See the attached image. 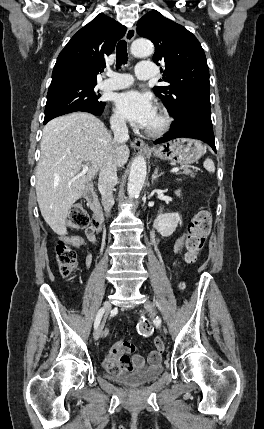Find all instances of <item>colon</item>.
<instances>
[{
	"label": "colon",
	"instance_id": "5ec220e1",
	"mask_svg": "<svg viewBox=\"0 0 264 429\" xmlns=\"http://www.w3.org/2000/svg\"><path fill=\"white\" fill-rule=\"evenodd\" d=\"M212 216L208 210H200L192 218L189 224V236L186 242V262L192 264L196 261L199 252L202 250L207 235L210 230ZM67 225L72 229L88 228L90 219L87 211L81 204H75L69 211ZM56 257L61 274L69 277L76 267V253L63 239L58 240L56 244ZM153 324L150 320L144 319L138 324V332L142 337H148L152 334ZM155 348L164 349L162 339L154 340ZM108 370L112 373L122 372V368L113 360L108 359L105 363Z\"/></svg>",
	"mask_w": 264,
	"mask_h": 429
}]
</instances>
